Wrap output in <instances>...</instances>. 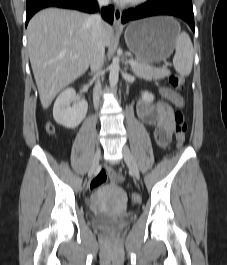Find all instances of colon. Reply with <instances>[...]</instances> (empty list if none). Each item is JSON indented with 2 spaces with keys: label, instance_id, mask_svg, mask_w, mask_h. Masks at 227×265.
<instances>
[{
  "label": "colon",
  "instance_id": "colon-1",
  "mask_svg": "<svg viewBox=\"0 0 227 265\" xmlns=\"http://www.w3.org/2000/svg\"><path fill=\"white\" fill-rule=\"evenodd\" d=\"M169 83L175 91H180L185 85V78L182 75L174 74L169 78ZM175 122V138L177 146L181 147L185 140L188 131V125L185 120L184 114L181 111H176L174 114ZM48 132H52L53 128L51 125L46 126ZM108 175L105 170H100L96 173L90 182L89 188L91 191L96 190L107 181ZM130 200L133 204H138L141 198L138 194H132Z\"/></svg>",
  "mask_w": 227,
  "mask_h": 265
}]
</instances>
